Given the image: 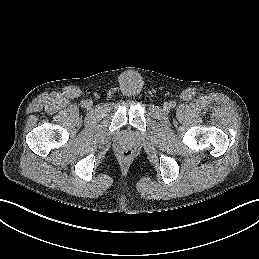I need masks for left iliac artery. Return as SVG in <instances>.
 I'll list each match as a JSON object with an SVG mask.
<instances>
[{
    "mask_svg": "<svg viewBox=\"0 0 259 259\" xmlns=\"http://www.w3.org/2000/svg\"><path fill=\"white\" fill-rule=\"evenodd\" d=\"M170 106L174 108L176 106V103L174 101L170 102Z\"/></svg>",
    "mask_w": 259,
    "mask_h": 259,
    "instance_id": "obj_1",
    "label": "left iliac artery"
}]
</instances>
